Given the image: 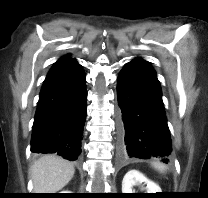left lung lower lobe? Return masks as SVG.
Listing matches in <instances>:
<instances>
[{
    "label": "left lung lower lobe",
    "instance_id": "1",
    "mask_svg": "<svg viewBox=\"0 0 208 198\" xmlns=\"http://www.w3.org/2000/svg\"><path fill=\"white\" fill-rule=\"evenodd\" d=\"M119 152L123 158H161L172 151L159 81L150 63L134 59L117 79Z\"/></svg>",
    "mask_w": 208,
    "mask_h": 198
}]
</instances>
